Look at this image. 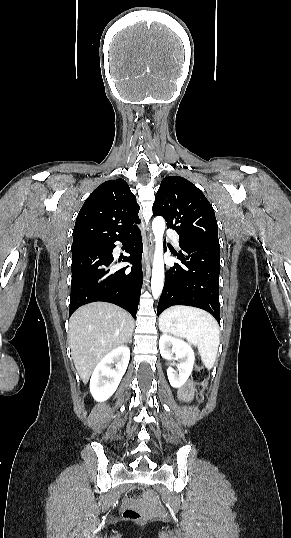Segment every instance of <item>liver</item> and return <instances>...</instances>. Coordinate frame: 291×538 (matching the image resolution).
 <instances>
[{
    "mask_svg": "<svg viewBox=\"0 0 291 538\" xmlns=\"http://www.w3.org/2000/svg\"><path fill=\"white\" fill-rule=\"evenodd\" d=\"M134 320L113 304L94 302L78 308L69 320L68 339L76 370L87 383L98 362L113 349L128 343Z\"/></svg>",
    "mask_w": 291,
    "mask_h": 538,
    "instance_id": "obj_1",
    "label": "liver"
}]
</instances>
